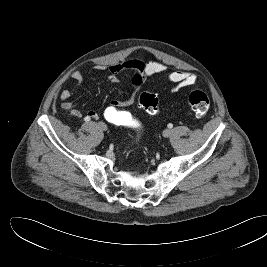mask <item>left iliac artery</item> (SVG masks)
Listing matches in <instances>:
<instances>
[{"instance_id":"left-iliac-artery-1","label":"left iliac artery","mask_w":267,"mask_h":267,"mask_svg":"<svg viewBox=\"0 0 267 267\" xmlns=\"http://www.w3.org/2000/svg\"><path fill=\"white\" fill-rule=\"evenodd\" d=\"M173 125L171 123L168 124V128H172Z\"/></svg>"}]
</instances>
